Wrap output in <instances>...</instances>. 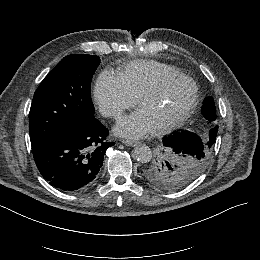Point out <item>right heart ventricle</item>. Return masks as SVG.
Returning <instances> with one entry per match:
<instances>
[{
    "label": "right heart ventricle",
    "instance_id": "right-heart-ventricle-1",
    "mask_svg": "<svg viewBox=\"0 0 260 260\" xmlns=\"http://www.w3.org/2000/svg\"><path fill=\"white\" fill-rule=\"evenodd\" d=\"M180 73L175 68L156 61H140L131 63L120 74V78L128 92L137 98L138 95L155 79Z\"/></svg>",
    "mask_w": 260,
    "mask_h": 260
}]
</instances>
